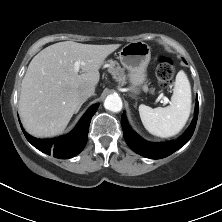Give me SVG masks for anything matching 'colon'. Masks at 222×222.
<instances>
[{
    "mask_svg": "<svg viewBox=\"0 0 222 222\" xmlns=\"http://www.w3.org/2000/svg\"><path fill=\"white\" fill-rule=\"evenodd\" d=\"M175 74L174 61L166 56L159 58L156 75L159 85L163 88L170 86Z\"/></svg>",
    "mask_w": 222,
    "mask_h": 222,
    "instance_id": "colon-1",
    "label": "colon"
}]
</instances>
